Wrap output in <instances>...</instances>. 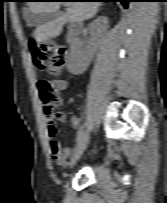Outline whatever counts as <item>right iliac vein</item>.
I'll return each mask as SVG.
<instances>
[{"mask_svg":"<svg viewBox=\"0 0 167 203\" xmlns=\"http://www.w3.org/2000/svg\"><path fill=\"white\" fill-rule=\"evenodd\" d=\"M88 142H89V134L84 133L83 137L81 138V140L79 141V143L77 144V146L74 150L73 156L71 158V167H73L75 165L77 160L83 154V152L87 148Z\"/></svg>","mask_w":167,"mask_h":203,"instance_id":"right-iliac-vein-1","label":"right iliac vein"}]
</instances>
